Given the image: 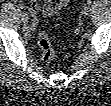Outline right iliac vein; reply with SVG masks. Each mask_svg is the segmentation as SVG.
I'll use <instances>...</instances> for the list:
<instances>
[{
	"mask_svg": "<svg viewBox=\"0 0 111 106\" xmlns=\"http://www.w3.org/2000/svg\"><path fill=\"white\" fill-rule=\"evenodd\" d=\"M22 21H23L25 24H27L28 21H29V19H28V18H22Z\"/></svg>",
	"mask_w": 111,
	"mask_h": 106,
	"instance_id": "1",
	"label": "right iliac vein"
}]
</instances>
